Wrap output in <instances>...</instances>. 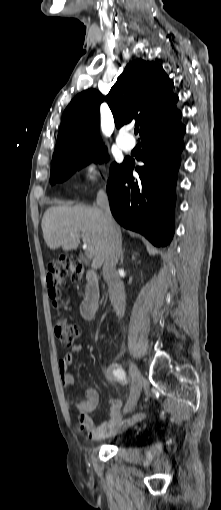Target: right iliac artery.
I'll return each mask as SVG.
<instances>
[{
  "label": "right iliac artery",
  "instance_id": "82829eb1",
  "mask_svg": "<svg viewBox=\"0 0 221 510\" xmlns=\"http://www.w3.org/2000/svg\"><path fill=\"white\" fill-rule=\"evenodd\" d=\"M113 375L122 382L126 381L127 379L126 373L121 366H118L113 370Z\"/></svg>",
  "mask_w": 221,
  "mask_h": 510
}]
</instances>
